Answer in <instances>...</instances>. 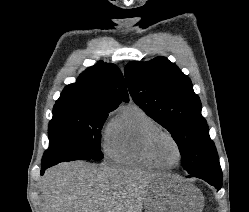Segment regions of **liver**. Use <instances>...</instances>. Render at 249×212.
Segmentation results:
<instances>
[{"instance_id": "obj_1", "label": "liver", "mask_w": 249, "mask_h": 212, "mask_svg": "<svg viewBox=\"0 0 249 212\" xmlns=\"http://www.w3.org/2000/svg\"><path fill=\"white\" fill-rule=\"evenodd\" d=\"M171 174L138 168L63 162L46 170L39 182L42 212H142L151 182Z\"/></svg>"}]
</instances>
